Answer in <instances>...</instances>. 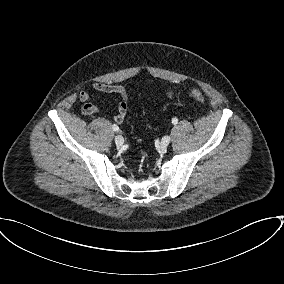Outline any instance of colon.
<instances>
[{
    "label": "colon",
    "mask_w": 284,
    "mask_h": 284,
    "mask_svg": "<svg viewBox=\"0 0 284 284\" xmlns=\"http://www.w3.org/2000/svg\"><path fill=\"white\" fill-rule=\"evenodd\" d=\"M189 94H190L195 100H197L198 102L204 103L205 98H204L203 94H202L199 90L190 89V90H189Z\"/></svg>",
    "instance_id": "1"
}]
</instances>
